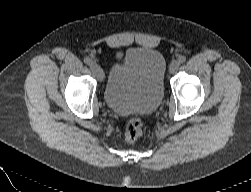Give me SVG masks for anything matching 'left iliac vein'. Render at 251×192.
Returning <instances> with one entry per match:
<instances>
[{"mask_svg": "<svg viewBox=\"0 0 251 192\" xmlns=\"http://www.w3.org/2000/svg\"><path fill=\"white\" fill-rule=\"evenodd\" d=\"M179 67V63L177 61H173L169 66V72L175 73Z\"/></svg>", "mask_w": 251, "mask_h": 192, "instance_id": "4c4485c4", "label": "left iliac vein"}]
</instances>
